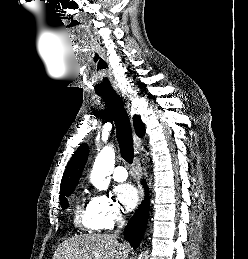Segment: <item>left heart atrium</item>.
Masks as SVG:
<instances>
[{
  "mask_svg": "<svg viewBox=\"0 0 248 259\" xmlns=\"http://www.w3.org/2000/svg\"><path fill=\"white\" fill-rule=\"evenodd\" d=\"M116 197L118 202L126 211H131L135 208L138 202V194L134 186L125 183L116 187Z\"/></svg>",
  "mask_w": 248,
  "mask_h": 259,
  "instance_id": "1",
  "label": "left heart atrium"
}]
</instances>
